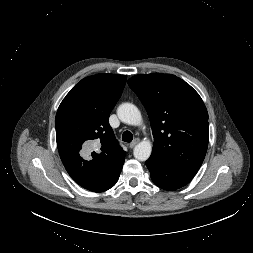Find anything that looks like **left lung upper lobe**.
I'll return each instance as SVG.
<instances>
[{
	"label": "left lung upper lobe",
	"mask_w": 253,
	"mask_h": 253,
	"mask_svg": "<svg viewBox=\"0 0 253 253\" xmlns=\"http://www.w3.org/2000/svg\"><path fill=\"white\" fill-rule=\"evenodd\" d=\"M147 110L154 146L151 157L195 175L209 138L208 112L199 94L171 74H142L128 80Z\"/></svg>",
	"instance_id": "1"
}]
</instances>
